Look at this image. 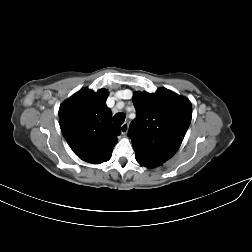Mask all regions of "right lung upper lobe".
<instances>
[{"label": "right lung upper lobe", "instance_id": "1", "mask_svg": "<svg viewBox=\"0 0 252 252\" xmlns=\"http://www.w3.org/2000/svg\"><path fill=\"white\" fill-rule=\"evenodd\" d=\"M108 91L81 89L59 108L60 128L74 153L83 161L100 164L110 159L121 134L111 123L106 106Z\"/></svg>", "mask_w": 252, "mask_h": 252}]
</instances>
